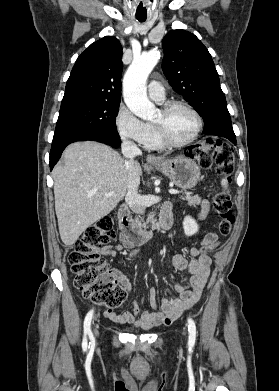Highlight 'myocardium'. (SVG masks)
I'll use <instances>...</instances> for the list:
<instances>
[{
  "mask_svg": "<svg viewBox=\"0 0 279 391\" xmlns=\"http://www.w3.org/2000/svg\"><path fill=\"white\" fill-rule=\"evenodd\" d=\"M175 107H184V108L188 109L194 115V117L196 118V121H197L196 130L187 140L177 142V141L172 140L169 137L167 130H166L165 122L163 119L158 122H153V127L156 131L157 137L164 147L180 148V147L187 146L190 143L194 142L198 138L199 134L201 133V131L203 129L202 116L188 102H185L182 100L168 101L161 106L160 112L163 117H166L170 113V111L172 109H174Z\"/></svg>",
  "mask_w": 279,
  "mask_h": 391,
  "instance_id": "1",
  "label": "myocardium"
}]
</instances>
